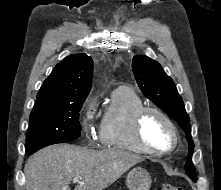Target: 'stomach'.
<instances>
[{"label": "stomach", "instance_id": "stomach-1", "mask_svg": "<svg viewBox=\"0 0 221 190\" xmlns=\"http://www.w3.org/2000/svg\"><path fill=\"white\" fill-rule=\"evenodd\" d=\"M152 180L147 170L141 167L133 168L126 177L129 190H149Z\"/></svg>", "mask_w": 221, "mask_h": 190}]
</instances>
